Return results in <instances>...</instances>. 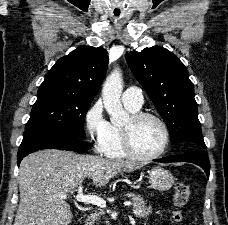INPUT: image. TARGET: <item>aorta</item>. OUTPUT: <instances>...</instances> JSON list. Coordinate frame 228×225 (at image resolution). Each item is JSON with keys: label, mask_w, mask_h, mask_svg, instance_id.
<instances>
[{"label": "aorta", "mask_w": 228, "mask_h": 225, "mask_svg": "<svg viewBox=\"0 0 228 225\" xmlns=\"http://www.w3.org/2000/svg\"><path fill=\"white\" fill-rule=\"evenodd\" d=\"M123 90V78L120 68H114L113 72L107 76L103 88L102 98L104 106L110 115L112 125H125L129 121V115L121 102V92Z\"/></svg>", "instance_id": "1"}]
</instances>
